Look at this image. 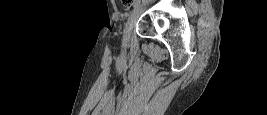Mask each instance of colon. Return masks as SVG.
<instances>
[{
  "label": "colon",
  "instance_id": "obj_1",
  "mask_svg": "<svg viewBox=\"0 0 267 115\" xmlns=\"http://www.w3.org/2000/svg\"><path fill=\"white\" fill-rule=\"evenodd\" d=\"M127 14V12H126V10L123 12V15H126Z\"/></svg>",
  "mask_w": 267,
  "mask_h": 115
}]
</instances>
